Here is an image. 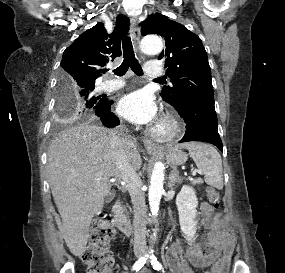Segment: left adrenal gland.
<instances>
[{"label": "left adrenal gland", "mask_w": 285, "mask_h": 273, "mask_svg": "<svg viewBox=\"0 0 285 273\" xmlns=\"http://www.w3.org/2000/svg\"><path fill=\"white\" fill-rule=\"evenodd\" d=\"M181 182L180 177H179V172L176 168V166H172V171L169 175V183H168V187L170 189H173V187L175 186V184H179Z\"/></svg>", "instance_id": "obj_1"}]
</instances>
